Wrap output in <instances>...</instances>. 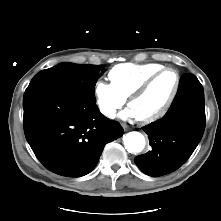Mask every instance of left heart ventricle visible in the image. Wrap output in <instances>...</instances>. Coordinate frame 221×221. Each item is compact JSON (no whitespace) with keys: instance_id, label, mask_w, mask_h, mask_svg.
Here are the masks:
<instances>
[{"instance_id":"b2bd125f","label":"left heart ventricle","mask_w":221,"mask_h":221,"mask_svg":"<svg viewBox=\"0 0 221 221\" xmlns=\"http://www.w3.org/2000/svg\"><path fill=\"white\" fill-rule=\"evenodd\" d=\"M175 84L174 72L167 71L160 75L142 96L133 100L129 107L135 112L137 118L151 116L163 108Z\"/></svg>"}]
</instances>
